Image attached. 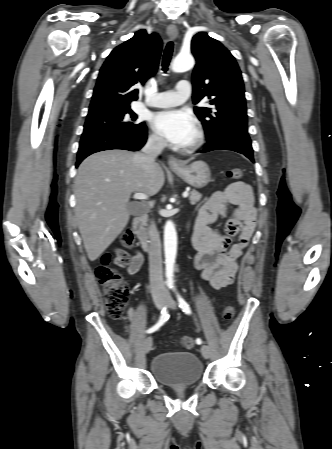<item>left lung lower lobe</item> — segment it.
Instances as JSON below:
<instances>
[{"label": "left lung lower lobe", "instance_id": "left-lung-lower-lobe-1", "mask_svg": "<svg viewBox=\"0 0 332 449\" xmlns=\"http://www.w3.org/2000/svg\"><path fill=\"white\" fill-rule=\"evenodd\" d=\"M213 150H232L245 155L254 162L251 139L245 130L234 129L226 131L208 140L206 147L201 152Z\"/></svg>", "mask_w": 332, "mask_h": 449}]
</instances>
